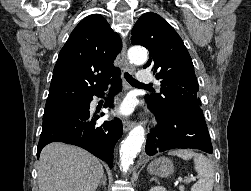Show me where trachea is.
Here are the masks:
<instances>
[{
	"instance_id": "1",
	"label": "trachea",
	"mask_w": 251,
	"mask_h": 191,
	"mask_svg": "<svg viewBox=\"0 0 251 191\" xmlns=\"http://www.w3.org/2000/svg\"><path fill=\"white\" fill-rule=\"evenodd\" d=\"M124 77L127 80V82L132 86L152 88V85H146L145 83H140V81L135 80V78H133V76H131L127 72H125Z\"/></svg>"
}]
</instances>
